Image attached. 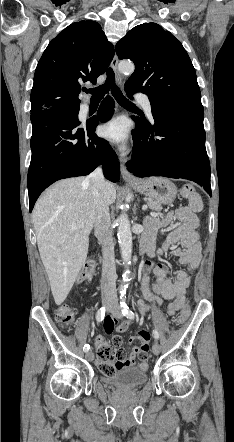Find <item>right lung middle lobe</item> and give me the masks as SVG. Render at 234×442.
<instances>
[{"label": "right lung middle lobe", "mask_w": 234, "mask_h": 442, "mask_svg": "<svg viewBox=\"0 0 234 442\" xmlns=\"http://www.w3.org/2000/svg\"><path fill=\"white\" fill-rule=\"evenodd\" d=\"M63 108L68 109V110L72 111L73 113H78V111H79V107L78 106L63 107Z\"/></svg>", "instance_id": "obj_1"}]
</instances>
